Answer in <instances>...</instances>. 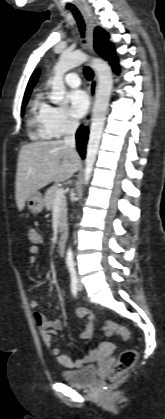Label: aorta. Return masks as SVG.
Returning <instances> with one entry per match:
<instances>
[{
    "mask_svg": "<svg viewBox=\"0 0 165 419\" xmlns=\"http://www.w3.org/2000/svg\"><path fill=\"white\" fill-rule=\"evenodd\" d=\"M88 58L89 57L81 51H75L72 53L63 52L61 54L59 61L54 67V76L51 81L52 91L49 99L53 104H58L64 99L66 91L63 81L64 74L70 69L81 65ZM91 65L97 73L98 86L92 110L90 134L85 159V184H88L89 182L93 166L96 161L111 96V90L113 87V77L110 66L99 58L92 59ZM66 261L68 264L73 263V252L71 248H68L67 250Z\"/></svg>",
    "mask_w": 165,
    "mask_h": 419,
    "instance_id": "obj_1",
    "label": "aorta"
}]
</instances>
